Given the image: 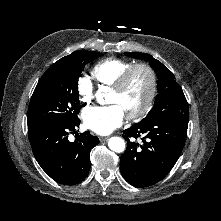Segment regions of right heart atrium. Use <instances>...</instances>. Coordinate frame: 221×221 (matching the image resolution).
Listing matches in <instances>:
<instances>
[{
  "mask_svg": "<svg viewBox=\"0 0 221 221\" xmlns=\"http://www.w3.org/2000/svg\"><path fill=\"white\" fill-rule=\"evenodd\" d=\"M77 93L84 104H89L94 97V86L90 78L81 76L77 81Z\"/></svg>",
  "mask_w": 221,
  "mask_h": 221,
  "instance_id": "1",
  "label": "right heart atrium"
}]
</instances>
